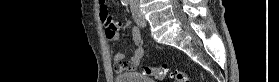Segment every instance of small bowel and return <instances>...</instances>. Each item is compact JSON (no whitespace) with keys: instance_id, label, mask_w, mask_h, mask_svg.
I'll use <instances>...</instances> for the list:
<instances>
[{"instance_id":"obj_1","label":"small bowel","mask_w":279,"mask_h":82,"mask_svg":"<svg viewBox=\"0 0 279 82\" xmlns=\"http://www.w3.org/2000/svg\"><path fill=\"white\" fill-rule=\"evenodd\" d=\"M100 6L105 5L104 0L99 1ZM130 21H115L113 22L111 27H106V37L109 40H117L118 39V31L121 28H127L130 26ZM131 39L134 43L135 49L134 52L128 62L124 61V54L118 52L114 55L115 68L114 71L117 74L126 73L129 71L135 70L141 63V60L144 56V47H143V39L141 36L140 29L138 27H132L131 29Z\"/></svg>"}]
</instances>
